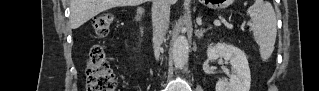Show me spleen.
Listing matches in <instances>:
<instances>
[{
	"mask_svg": "<svg viewBox=\"0 0 319 91\" xmlns=\"http://www.w3.org/2000/svg\"><path fill=\"white\" fill-rule=\"evenodd\" d=\"M252 20V33L259 45L262 61H267L272 52L277 36V20L273 6L270 2L256 0L247 10Z\"/></svg>",
	"mask_w": 319,
	"mask_h": 91,
	"instance_id": "obj_1",
	"label": "spleen"
}]
</instances>
